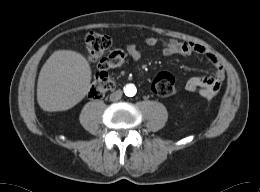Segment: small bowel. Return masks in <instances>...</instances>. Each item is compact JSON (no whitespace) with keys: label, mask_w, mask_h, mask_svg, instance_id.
<instances>
[{"label":"small bowel","mask_w":260,"mask_h":192,"mask_svg":"<svg viewBox=\"0 0 260 192\" xmlns=\"http://www.w3.org/2000/svg\"><path fill=\"white\" fill-rule=\"evenodd\" d=\"M144 42L149 47L160 45L162 54L167 57L174 55L183 57L203 56L214 67V74L210 77H192L187 81L185 88L190 92H198L205 99H211L219 92L225 80V70L213 52L200 44L176 39L148 37ZM126 51L133 61H138L142 57L141 49L135 44L127 45Z\"/></svg>","instance_id":"obj_1"}]
</instances>
